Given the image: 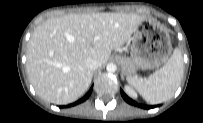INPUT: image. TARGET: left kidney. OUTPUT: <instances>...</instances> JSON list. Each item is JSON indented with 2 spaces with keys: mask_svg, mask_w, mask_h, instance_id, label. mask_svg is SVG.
I'll list each match as a JSON object with an SVG mask.
<instances>
[{
  "mask_svg": "<svg viewBox=\"0 0 203 123\" xmlns=\"http://www.w3.org/2000/svg\"><path fill=\"white\" fill-rule=\"evenodd\" d=\"M124 90H125V92H126V94L128 95V96H130L131 98H137V93L134 91V89L133 88H131L130 86H128V85H125L124 86Z\"/></svg>",
  "mask_w": 203,
  "mask_h": 123,
  "instance_id": "obj_1",
  "label": "left kidney"
}]
</instances>
